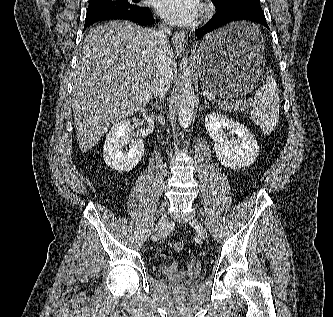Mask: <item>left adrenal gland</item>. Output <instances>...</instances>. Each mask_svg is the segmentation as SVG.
Masks as SVG:
<instances>
[{"label":"left adrenal gland","mask_w":333,"mask_h":317,"mask_svg":"<svg viewBox=\"0 0 333 317\" xmlns=\"http://www.w3.org/2000/svg\"><path fill=\"white\" fill-rule=\"evenodd\" d=\"M202 108H203V109H204V108H209V106L207 105V101H206V100H204V105H203Z\"/></svg>","instance_id":"a2214340"}]
</instances>
